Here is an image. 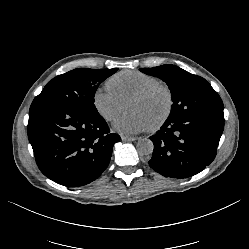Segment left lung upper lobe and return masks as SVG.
<instances>
[{"instance_id":"1","label":"left lung upper lobe","mask_w":249,"mask_h":249,"mask_svg":"<svg viewBox=\"0 0 249 249\" xmlns=\"http://www.w3.org/2000/svg\"><path fill=\"white\" fill-rule=\"evenodd\" d=\"M141 72L158 77L167 83L172 95V109L168 119H178L186 114L223 110L217 92L202 77L193 75L174 65L141 68Z\"/></svg>"}]
</instances>
